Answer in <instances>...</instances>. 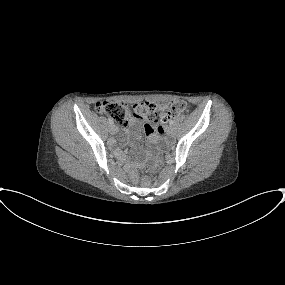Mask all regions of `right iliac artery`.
<instances>
[{
  "instance_id": "right-iliac-artery-1",
  "label": "right iliac artery",
  "mask_w": 285,
  "mask_h": 285,
  "mask_svg": "<svg viewBox=\"0 0 285 285\" xmlns=\"http://www.w3.org/2000/svg\"><path fill=\"white\" fill-rule=\"evenodd\" d=\"M108 121L110 124H113V121L110 118L108 119Z\"/></svg>"
}]
</instances>
